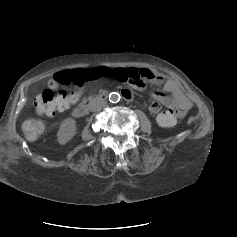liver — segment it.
Instances as JSON below:
<instances>
[{"label":"liver","instance_id":"obj_1","mask_svg":"<svg viewBox=\"0 0 237 237\" xmlns=\"http://www.w3.org/2000/svg\"><path fill=\"white\" fill-rule=\"evenodd\" d=\"M27 139H28L29 141H35V140L37 139V136H30V135H28V136H27Z\"/></svg>","mask_w":237,"mask_h":237}]
</instances>
